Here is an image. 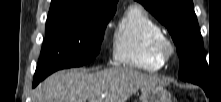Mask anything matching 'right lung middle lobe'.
I'll return each instance as SVG.
<instances>
[{
	"label": "right lung middle lobe",
	"instance_id": "obj_1",
	"mask_svg": "<svg viewBox=\"0 0 221 102\" xmlns=\"http://www.w3.org/2000/svg\"><path fill=\"white\" fill-rule=\"evenodd\" d=\"M115 11L49 13L34 79L42 81L56 70L79 67L93 61L100 52L104 30Z\"/></svg>",
	"mask_w": 221,
	"mask_h": 102
}]
</instances>
